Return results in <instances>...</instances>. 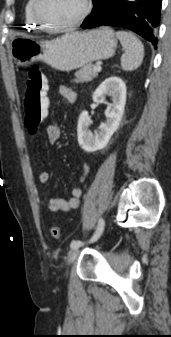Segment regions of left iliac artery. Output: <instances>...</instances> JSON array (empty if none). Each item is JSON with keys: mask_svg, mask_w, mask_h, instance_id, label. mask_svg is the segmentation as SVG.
Here are the masks:
<instances>
[{"mask_svg": "<svg viewBox=\"0 0 171 337\" xmlns=\"http://www.w3.org/2000/svg\"><path fill=\"white\" fill-rule=\"evenodd\" d=\"M104 220L101 218L98 222V226L97 229L94 233V235L92 236V238L90 239V243L91 242H95L96 240H98V238L101 236L103 230H104ZM81 245H83V242L80 240H73L70 244V247L72 249H77L79 248Z\"/></svg>", "mask_w": 171, "mask_h": 337, "instance_id": "obj_1", "label": "left iliac artery"}]
</instances>
